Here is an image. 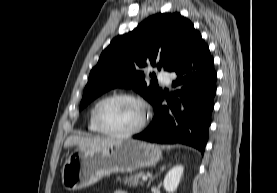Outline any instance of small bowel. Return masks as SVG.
<instances>
[{
    "instance_id": "c3829d8e",
    "label": "small bowel",
    "mask_w": 277,
    "mask_h": 193,
    "mask_svg": "<svg viewBox=\"0 0 277 193\" xmlns=\"http://www.w3.org/2000/svg\"><path fill=\"white\" fill-rule=\"evenodd\" d=\"M114 193H128V192L125 190H116Z\"/></svg>"
}]
</instances>
